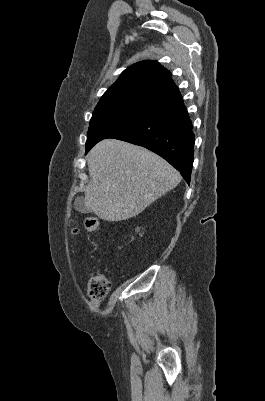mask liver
Returning <instances> with one entry per match:
<instances>
[{"mask_svg":"<svg viewBox=\"0 0 265 401\" xmlns=\"http://www.w3.org/2000/svg\"><path fill=\"white\" fill-rule=\"evenodd\" d=\"M86 160L90 182L85 207L103 221L136 217L182 178L155 152L114 138L95 144Z\"/></svg>","mask_w":265,"mask_h":401,"instance_id":"obj_1","label":"liver"}]
</instances>
